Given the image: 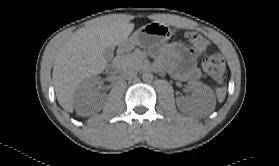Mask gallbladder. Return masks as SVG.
Instances as JSON below:
<instances>
[{"label": "gallbladder", "instance_id": "bac80fb5", "mask_svg": "<svg viewBox=\"0 0 279 166\" xmlns=\"http://www.w3.org/2000/svg\"><path fill=\"white\" fill-rule=\"evenodd\" d=\"M103 56L107 61H111L114 56V47L113 46L106 47L103 51Z\"/></svg>", "mask_w": 279, "mask_h": 166}]
</instances>
